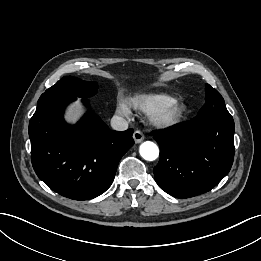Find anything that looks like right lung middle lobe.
Returning a JSON list of instances; mask_svg holds the SVG:
<instances>
[{"label": "right lung middle lobe", "instance_id": "obj_1", "mask_svg": "<svg viewBox=\"0 0 261 261\" xmlns=\"http://www.w3.org/2000/svg\"><path fill=\"white\" fill-rule=\"evenodd\" d=\"M98 85L95 82L65 76L43 94H67L75 97L88 98L96 94Z\"/></svg>", "mask_w": 261, "mask_h": 261}]
</instances>
